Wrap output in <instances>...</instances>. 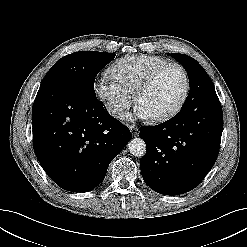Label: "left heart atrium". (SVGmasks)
Listing matches in <instances>:
<instances>
[{
	"instance_id": "1",
	"label": "left heart atrium",
	"mask_w": 247,
	"mask_h": 247,
	"mask_svg": "<svg viewBox=\"0 0 247 247\" xmlns=\"http://www.w3.org/2000/svg\"><path fill=\"white\" fill-rule=\"evenodd\" d=\"M127 119H133V118H140V119H148L151 116L149 113L140 105L137 104L134 114L133 115H127Z\"/></svg>"
}]
</instances>
